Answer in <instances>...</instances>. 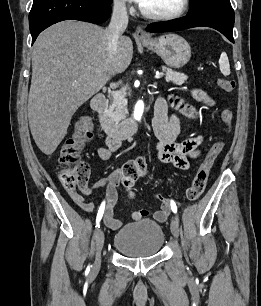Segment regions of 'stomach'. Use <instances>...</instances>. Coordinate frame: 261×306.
Returning <instances> with one entry per match:
<instances>
[{
    "label": "stomach",
    "instance_id": "obj_1",
    "mask_svg": "<svg viewBox=\"0 0 261 306\" xmlns=\"http://www.w3.org/2000/svg\"><path fill=\"white\" fill-rule=\"evenodd\" d=\"M142 44L159 55L171 68L183 67L191 57V48L188 42L174 33L164 34L150 41H142Z\"/></svg>",
    "mask_w": 261,
    "mask_h": 306
}]
</instances>
